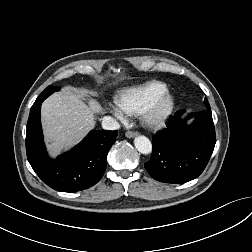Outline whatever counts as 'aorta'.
I'll use <instances>...</instances> for the list:
<instances>
[{
  "mask_svg": "<svg viewBox=\"0 0 252 252\" xmlns=\"http://www.w3.org/2000/svg\"><path fill=\"white\" fill-rule=\"evenodd\" d=\"M134 145L141 154H150L152 152V143L146 136H137L134 139Z\"/></svg>",
  "mask_w": 252,
  "mask_h": 252,
  "instance_id": "obj_1",
  "label": "aorta"
}]
</instances>
